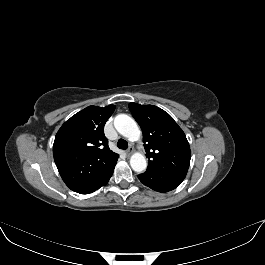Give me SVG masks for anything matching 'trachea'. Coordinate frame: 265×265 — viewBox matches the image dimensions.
<instances>
[{
    "instance_id": "obj_1",
    "label": "trachea",
    "mask_w": 265,
    "mask_h": 265,
    "mask_svg": "<svg viewBox=\"0 0 265 265\" xmlns=\"http://www.w3.org/2000/svg\"><path fill=\"white\" fill-rule=\"evenodd\" d=\"M117 146L119 149L126 150L128 148V143L124 139H119L117 142Z\"/></svg>"
}]
</instances>
